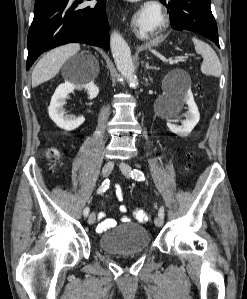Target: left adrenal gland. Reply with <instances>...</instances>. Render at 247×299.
<instances>
[{
	"instance_id": "a2214340",
	"label": "left adrenal gland",
	"mask_w": 247,
	"mask_h": 299,
	"mask_svg": "<svg viewBox=\"0 0 247 299\" xmlns=\"http://www.w3.org/2000/svg\"><path fill=\"white\" fill-rule=\"evenodd\" d=\"M146 69H155V70H159V68L155 67V66H150L149 63L147 62L145 64Z\"/></svg>"
}]
</instances>
